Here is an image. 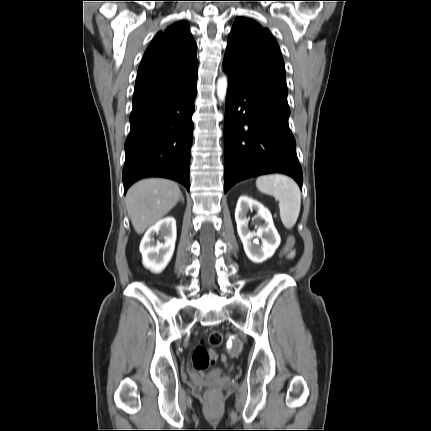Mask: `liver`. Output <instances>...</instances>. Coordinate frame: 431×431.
<instances>
[{"label":"liver","instance_id":"1","mask_svg":"<svg viewBox=\"0 0 431 431\" xmlns=\"http://www.w3.org/2000/svg\"><path fill=\"white\" fill-rule=\"evenodd\" d=\"M179 186L170 180H140L126 194V208L138 234L160 221L179 201Z\"/></svg>","mask_w":431,"mask_h":431}]
</instances>
